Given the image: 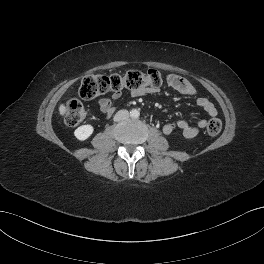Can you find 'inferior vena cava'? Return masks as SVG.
<instances>
[{
  "label": "inferior vena cava",
  "mask_w": 264,
  "mask_h": 264,
  "mask_svg": "<svg viewBox=\"0 0 264 264\" xmlns=\"http://www.w3.org/2000/svg\"><path fill=\"white\" fill-rule=\"evenodd\" d=\"M129 117V112L127 110H119L115 116H114V121H121L124 119H127Z\"/></svg>",
  "instance_id": "602c4592"
}]
</instances>
